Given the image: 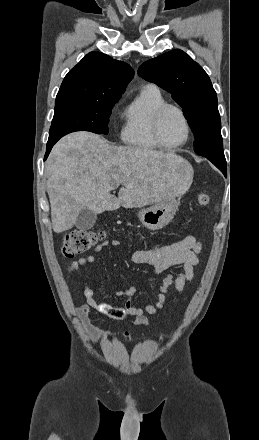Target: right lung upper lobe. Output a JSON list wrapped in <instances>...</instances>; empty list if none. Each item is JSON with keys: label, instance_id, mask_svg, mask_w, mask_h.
Listing matches in <instances>:
<instances>
[{"label": "right lung upper lobe", "instance_id": "obj_1", "mask_svg": "<svg viewBox=\"0 0 259 440\" xmlns=\"http://www.w3.org/2000/svg\"><path fill=\"white\" fill-rule=\"evenodd\" d=\"M133 75L127 63L90 52L65 76L57 97L120 99Z\"/></svg>", "mask_w": 259, "mask_h": 440}]
</instances>
